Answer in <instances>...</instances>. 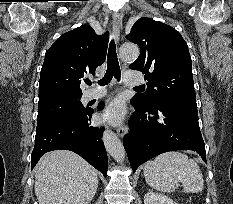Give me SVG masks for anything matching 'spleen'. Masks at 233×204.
Listing matches in <instances>:
<instances>
[{"label": "spleen", "mask_w": 233, "mask_h": 204, "mask_svg": "<svg viewBox=\"0 0 233 204\" xmlns=\"http://www.w3.org/2000/svg\"><path fill=\"white\" fill-rule=\"evenodd\" d=\"M144 177L152 188L174 192L177 183H182L185 193H198L203 190L204 181L198 164L181 152H167L145 164Z\"/></svg>", "instance_id": "3e777b00"}]
</instances>
